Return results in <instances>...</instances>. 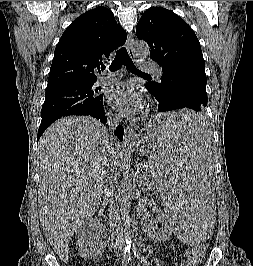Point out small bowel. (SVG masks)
Segmentation results:
<instances>
[{"mask_svg": "<svg viewBox=\"0 0 253 266\" xmlns=\"http://www.w3.org/2000/svg\"><path fill=\"white\" fill-rule=\"evenodd\" d=\"M155 266H161V264L158 261H156Z\"/></svg>", "mask_w": 253, "mask_h": 266, "instance_id": "obj_1", "label": "small bowel"}]
</instances>
